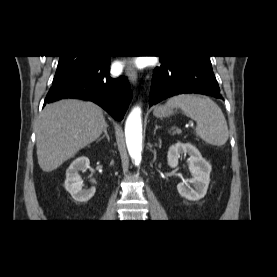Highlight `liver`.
Segmentation results:
<instances>
[{
  "instance_id": "liver-1",
  "label": "liver",
  "mask_w": 277,
  "mask_h": 277,
  "mask_svg": "<svg viewBox=\"0 0 277 277\" xmlns=\"http://www.w3.org/2000/svg\"><path fill=\"white\" fill-rule=\"evenodd\" d=\"M106 126L102 109L94 103L66 99L48 104L36 129L40 168L45 172L57 169L95 141Z\"/></svg>"
}]
</instances>
